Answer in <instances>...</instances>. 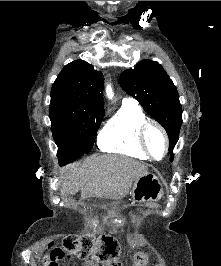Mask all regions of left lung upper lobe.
Returning <instances> with one entry per match:
<instances>
[{
	"label": "left lung upper lobe",
	"mask_w": 221,
	"mask_h": 266,
	"mask_svg": "<svg viewBox=\"0 0 221 266\" xmlns=\"http://www.w3.org/2000/svg\"><path fill=\"white\" fill-rule=\"evenodd\" d=\"M120 86L139 101L144 110L166 130L171 160L182 125V107L175 85L156 61L142 60L134 69L125 70L119 78Z\"/></svg>",
	"instance_id": "obj_1"
}]
</instances>
